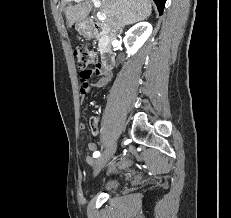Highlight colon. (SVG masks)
<instances>
[{
    "label": "colon",
    "mask_w": 231,
    "mask_h": 218,
    "mask_svg": "<svg viewBox=\"0 0 231 218\" xmlns=\"http://www.w3.org/2000/svg\"><path fill=\"white\" fill-rule=\"evenodd\" d=\"M73 55L79 69H89V66L98 63L97 53L83 44H76L73 47Z\"/></svg>",
    "instance_id": "obj_1"
}]
</instances>
